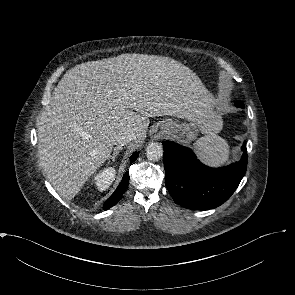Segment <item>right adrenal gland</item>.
<instances>
[{
	"instance_id": "obj_1",
	"label": "right adrenal gland",
	"mask_w": 295,
	"mask_h": 295,
	"mask_svg": "<svg viewBox=\"0 0 295 295\" xmlns=\"http://www.w3.org/2000/svg\"><path fill=\"white\" fill-rule=\"evenodd\" d=\"M122 149H123L122 146L114 148L113 154L111 156H109L108 160L114 161L116 159V157L119 155L120 150H122Z\"/></svg>"
}]
</instances>
